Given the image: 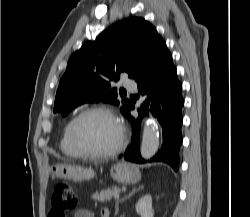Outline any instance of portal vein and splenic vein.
Segmentation results:
<instances>
[{
	"instance_id": "1",
	"label": "portal vein and splenic vein",
	"mask_w": 250,
	"mask_h": 217,
	"mask_svg": "<svg viewBox=\"0 0 250 217\" xmlns=\"http://www.w3.org/2000/svg\"><path fill=\"white\" fill-rule=\"evenodd\" d=\"M114 198H115V199L119 198V193H116V194L114 195Z\"/></svg>"
}]
</instances>
